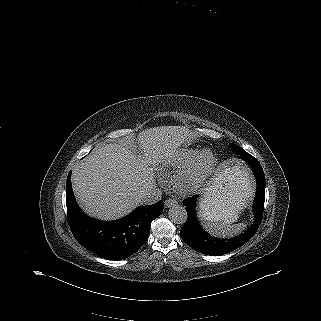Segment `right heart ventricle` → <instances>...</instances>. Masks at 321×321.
<instances>
[{"instance_id":"obj_1","label":"right heart ventricle","mask_w":321,"mask_h":321,"mask_svg":"<svg viewBox=\"0 0 321 321\" xmlns=\"http://www.w3.org/2000/svg\"><path fill=\"white\" fill-rule=\"evenodd\" d=\"M197 154V150L179 152L169 160L168 167L174 171H183L194 161Z\"/></svg>"}]
</instances>
